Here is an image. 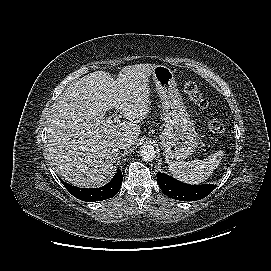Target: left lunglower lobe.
I'll return each instance as SVG.
<instances>
[{"instance_id":"0a47b994","label":"left lung lower lobe","mask_w":271,"mask_h":271,"mask_svg":"<svg viewBox=\"0 0 271 271\" xmlns=\"http://www.w3.org/2000/svg\"><path fill=\"white\" fill-rule=\"evenodd\" d=\"M157 182L168 197L180 201L202 199L216 188L213 184L189 185L164 173H157Z\"/></svg>"}]
</instances>
